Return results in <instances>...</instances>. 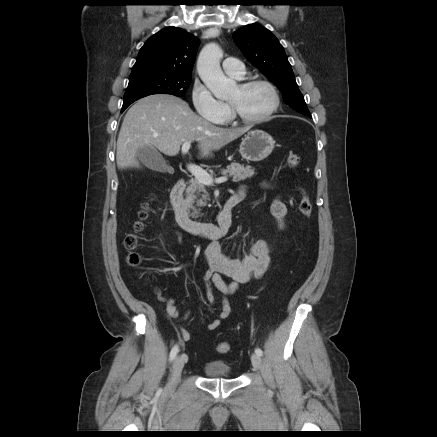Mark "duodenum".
<instances>
[{
  "label": "duodenum",
  "mask_w": 437,
  "mask_h": 437,
  "mask_svg": "<svg viewBox=\"0 0 437 437\" xmlns=\"http://www.w3.org/2000/svg\"><path fill=\"white\" fill-rule=\"evenodd\" d=\"M186 180L179 179L173 186L170 194L171 204L177 224L188 233L207 239H218L225 236L232 224V212L241 198L234 194L224 204L216 223L202 222L192 219L184 203L183 193Z\"/></svg>",
  "instance_id": "duodenum-1"
}]
</instances>
